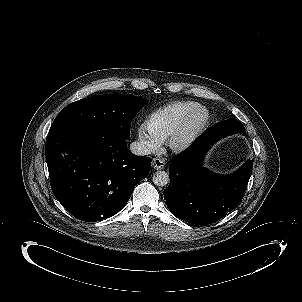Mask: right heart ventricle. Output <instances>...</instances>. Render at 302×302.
<instances>
[{
    "label": "right heart ventricle",
    "mask_w": 302,
    "mask_h": 302,
    "mask_svg": "<svg viewBox=\"0 0 302 302\" xmlns=\"http://www.w3.org/2000/svg\"><path fill=\"white\" fill-rule=\"evenodd\" d=\"M197 106V103L191 101L171 102L152 113L146 121V126L150 132L164 140L182 118Z\"/></svg>",
    "instance_id": "obj_1"
}]
</instances>
